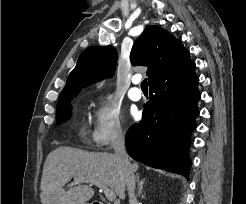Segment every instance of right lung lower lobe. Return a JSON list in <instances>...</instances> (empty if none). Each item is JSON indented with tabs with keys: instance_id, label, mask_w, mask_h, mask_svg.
Returning <instances> with one entry per match:
<instances>
[{
	"instance_id": "right-lung-lower-lobe-1",
	"label": "right lung lower lobe",
	"mask_w": 246,
	"mask_h": 204,
	"mask_svg": "<svg viewBox=\"0 0 246 204\" xmlns=\"http://www.w3.org/2000/svg\"><path fill=\"white\" fill-rule=\"evenodd\" d=\"M195 63L149 84L142 120L126 135L128 154L148 166L188 178L190 133L196 128L200 93Z\"/></svg>"
}]
</instances>
